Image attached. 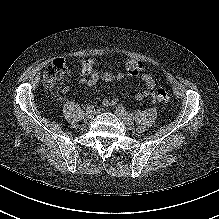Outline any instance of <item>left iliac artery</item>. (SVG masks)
I'll return each mask as SVG.
<instances>
[{
	"label": "left iliac artery",
	"mask_w": 219,
	"mask_h": 219,
	"mask_svg": "<svg viewBox=\"0 0 219 219\" xmlns=\"http://www.w3.org/2000/svg\"><path fill=\"white\" fill-rule=\"evenodd\" d=\"M118 107L120 108V110H121L123 113H125V114L129 115L130 117H132V114H128V112L126 111V109H125L122 105H119Z\"/></svg>",
	"instance_id": "44dca946"
}]
</instances>
